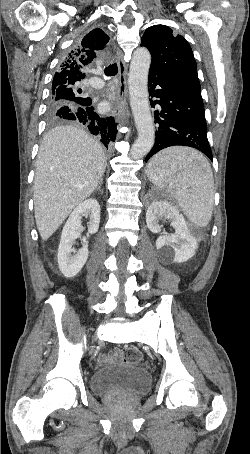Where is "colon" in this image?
Returning <instances> with one entry per match:
<instances>
[{
	"label": "colon",
	"instance_id": "colon-1",
	"mask_svg": "<svg viewBox=\"0 0 250 454\" xmlns=\"http://www.w3.org/2000/svg\"><path fill=\"white\" fill-rule=\"evenodd\" d=\"M121 357L124 362L129 364H140L143 359L141 352L133 347L124 348L121 351Z\"/></svg>",
	"mask_w": 250,
	"mask_h": 454
}]
</instances>
